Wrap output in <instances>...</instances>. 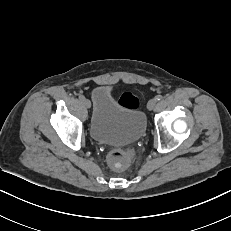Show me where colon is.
<instances>
[{"label": "colon", "instance_id": "5ec220e1", "mask_svg": "<svg viewBox=\"0 0 231 231\" xmlns=\"http://www.w3.org/2000/svg\"><path fill=\"white\" fill-rule=\"evenodd\" d=\"M118 101L128 107H138L140 98L131 92H124L118 98ZM131 159L130 152L122 149H116L108 154V164L115 170H124L128 167Z\"/></svg>", "mask_w": 231, "mask_h": 231}]
</instances>
